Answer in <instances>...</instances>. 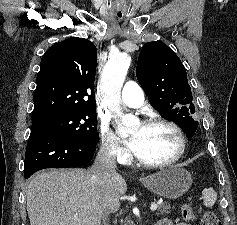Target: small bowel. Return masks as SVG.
Here are the masks:
<instances>
[{
    "label": "small bowel",
    "instance_id": "obj_1",
    "mask_svg": "<svg viewBox=\"0 0 237 225\" xmlns=\"http://www.w3.org/2000/svg\"><path fill=\"white\" fill-rule=\"evenodd\" d=\"M157 225H190V224L185 223V222H179V223L174 224V222L171 219L164 218V219L159 220Z\"/></svg>",
    "mask_w": 237,
    "mask_h": 225
}]
</instances>
